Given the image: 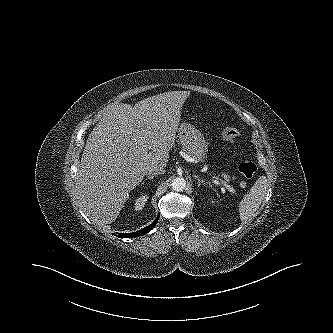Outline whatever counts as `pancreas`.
I'll return each instance as SVG.
<instances>
[{"label":"pancreas","mask_w":333,"mask_h":333,"mask_svg":"<svg viewBox=\"0 0 333 333\" xmlns=\"http://www.w3.org/2000/svg\"><path fill=\"white\" fill-rule=\"evenodd\" d=\"M223 177H224V179L227 180V181H228L229 178H230V177H229L228 175H226V174H223Z\"/></svg>","instance_id":"cf45deb5"}]
</instances>
